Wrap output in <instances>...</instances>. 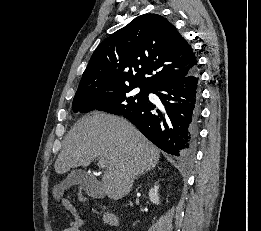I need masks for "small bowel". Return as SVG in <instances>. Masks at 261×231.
I'll return each instance as SVG.
<instances>
[{
	"label": "small bowel",
	"instance_id": "small-bowel-1",
	"mask_svg": "<svg viewBox=\"0 0 261 231\" xmlns=\"http://www.w3.org/2000/svg\"><path fill=\"white\" fill-rule=\"evenodd\" d=\"M61 207L69 214L74 216V219L70 222L69 226L63 231H82L83 220L78 216L76 208L70 199L62 197L59 200Z\"/></svg>",
	"mask_w": 261,
	"mask_h": 231
}]
</instances>
